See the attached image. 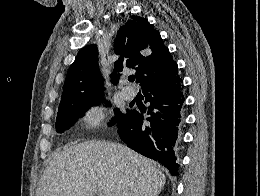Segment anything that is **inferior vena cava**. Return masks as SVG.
I'll list each match as a JSON object with an SVG mask.
<instances>
[{
    "mask_svg": "<svg viewBox=\"0 0 260 196\" xmlns=\"http://www.w3.org/2000/svg\"><path fill=\"white\" fill-rule=\"evenodd\" d=\"M126 196H133V194H132V192H131V194H126Z\"/></svg>",
    "mask_w": 260,
    "mask_h": 196,
    "instance_id": "inferior-vena-cava-1",
    "label": "inferior vena cava"
}]
</instances>
